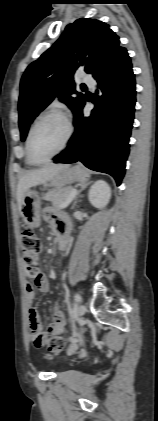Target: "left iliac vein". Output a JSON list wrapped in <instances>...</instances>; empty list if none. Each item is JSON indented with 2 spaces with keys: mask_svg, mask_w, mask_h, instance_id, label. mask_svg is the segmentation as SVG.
<instances>
[{
  "mask_svg": "<svg viewBox=\"0 0 158 421\" xmlns=\"http://www.w3.org/2000/svg\"><path fill=\"white\" fill-rule=\"evenodd\" d=\"M86 312V306L84 304H80L78 307V316L82 317Z\"/></svg>",
  "mask_w": 158,
  "mask_h": 421,
  "instance_id": "1",
  "label": "left iliac vein"
}]
</instances>
